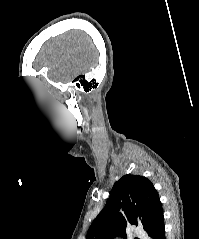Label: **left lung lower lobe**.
Here are the masks:
<instances>
[{
    "mask_svg": "<svg viewBox=\"0 0 199 239\" xmlns=\"http://www.w3.org/2000/svg\"><path fill=\"white\" fill-rule=\"evenodd\" d=\"M146 232L152 239H166L163 209L153 219L152 223L150 224Z\"/></svg>",
    "mask_w": 199,
    "mask_h": 239,
    "instance_id": "0a47b994",
    "label": "left lung lower lobe"
}]
</instances>
